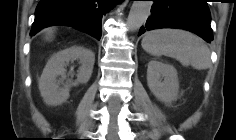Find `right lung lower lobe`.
Masks as SVG:
<instances>
[{"instance_id": "98d812e1", "label": "right lung lower lobe", "mask_w": 236, "mask_h": 140, "mask_svg": "<svg viewBox=\"0 0 236 140\" xmlns=\"http://www.w3.org/2000/svg\"><path fill=\"white\" fill-rule=\"evenodd\" d=\"M120 0H41L35 11L30 32L33 36L41 29L53 25L75 27L101 38L102 17Z\"/></svg>"}]
</instances>
